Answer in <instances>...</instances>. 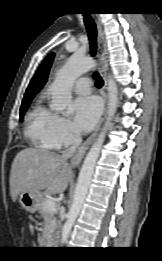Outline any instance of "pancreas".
I'll return each mask as SVG.
<instances>
[{
	"mask_svg": "<svg viewBox=\"0 0 162 261\" xmlns=\"http://www.w3.org/2000/svg\"><path fill=\"white\" fill-rule=\"evenodd\" d=\"M48 200L47 197H43L40 200L39 204V214L41 217L44 219L43 221V231H42V236H41V244L47 245L51 242L52 237L55 234L56 229L58 228V221L55 218V213L47 211L45 208L46 201Z\"/></svg>",
	"mask_w": 162,
	"mask_h": 261,
	"instance_id": "cf45deb5",
	"label": "pancreas"
}]
</instances>
